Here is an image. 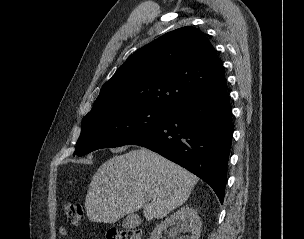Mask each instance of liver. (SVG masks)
Segmentation results:
<instances>
[{"instance_id":"6515ba94","label":"liver","mask_w":304,"mask_h":239,"mask_svg":"<svg viewBox=\"0 0 304 239\" xmlns=\"http://www.w3.org/2000/svg\"><path fill=\"white\" fill-rule=\"evenodd\" d=\"M198 178L145 148L116 155L94 174L85 198L91 221L115 223L143 209L146 220L163 218L190 196Z\"/></svg>"}]
</instances>
